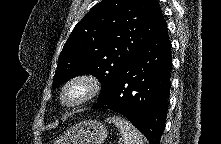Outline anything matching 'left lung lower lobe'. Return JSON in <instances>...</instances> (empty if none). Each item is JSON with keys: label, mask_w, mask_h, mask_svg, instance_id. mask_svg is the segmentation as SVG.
Returning a JSON list of instances; mask_svg holds the SVG:
<instances>
[{"label": "left lung lower lobe", "mask_w": 221, "mask_h": 144, "mask_svg": "<svg viewBox=\"0 0 221 144\" xmlns=\"http://www.w3.org/2000/svg\"><path fill=\"white\" fill-rule=\"evenodd\" d=\"M171 69V43L163 20L154 36L121 69L92 109L123 114L150 144H159L166 123Z\"/></svg>", "instance_id": "1"}]
</instances>
